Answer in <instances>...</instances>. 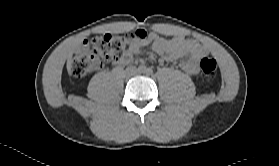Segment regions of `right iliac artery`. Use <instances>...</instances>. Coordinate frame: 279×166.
<instances>
[{"mask_svg":"<svg viewBox=\"0 0 279 166\" xmlns=\"http://www.w3.org/2000/svg\"><path fill=\"white\" fill-rule=\"evenodd\" d=\"M145 69H146V67H145L144 65H140V66H139V70H140V71H144Z\"/></svg>","mask_w":279,"mask_h":166,"instance_id":"obj_1","label":"right iliac artery"}]
</instances>
